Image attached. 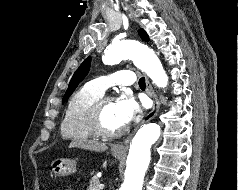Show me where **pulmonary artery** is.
Masks as SVG:
<instances>
[{"mask_svg":"<svg viewBox=\"0 0 238 190\" xmlns=\"http://www.w3.org/2000/svg\"><path fill=\"white\" fill-rule=\"evenodd\" d=\"M135 82V75L130 70H119L108 75L100 76L87 83V86L94 91L104 94L113 85H132Z\"/></svg>","mask_w":238,"mask_h":190,"instance_id":"e3ab8cb5","label":"pulmonary artery"}]
</instances>
